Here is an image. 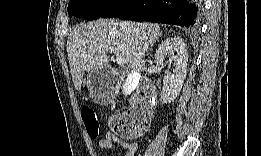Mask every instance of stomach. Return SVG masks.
I'll return each instance as SVG.
<instances>
[{"label": "stomach", "instance_id": "0dacf381", "mask_svg": "<svg viewBox=\"0 0 261 156\" xmlns=\"http://www.w3.org/2000/svg\"><path fill=\"white\" fill-rule=\"evenodd\" d=\"M98 84H104L105 89L112 87L110 74L106 70L94 71L87 78V87L92 93L93 87Z\"/></svg>", "mask_w": 261, "mask_h": 156}]
</instances>
